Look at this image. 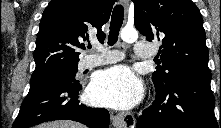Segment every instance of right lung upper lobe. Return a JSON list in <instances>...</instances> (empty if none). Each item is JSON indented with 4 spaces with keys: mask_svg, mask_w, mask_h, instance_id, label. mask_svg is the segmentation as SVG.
<instances>
[{
    "mask_svg": "<svg viewBox=\"0 0 221 128\" xmlns=\"http://www.w3.org/2000/svg\"><path fill=\"white\" fill-rule=\"evenodd\" d=\"M117 0H51L43 12L36 39L32 76L78 65V49L89 35L105 39L102 26Z\"/></svg>",
    "mask_w": 221,
    "mask_h": 128,
    "instance_id": "cb5924a9",
    "label": "right lung upper lobe"
}]
</instances>
